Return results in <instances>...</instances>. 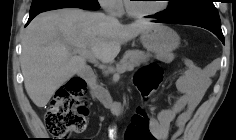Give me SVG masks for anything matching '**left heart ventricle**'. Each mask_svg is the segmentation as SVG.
Returning a JSON list of instances; mask_svg holds the SVG:
<instances>
[{"mask_svg":"<svg viewBox=\"0 0 236 140\" xmlns=\"http://www.w3.org/2000/svg\"><path fill=\"white\" fill-rule=\"evenodd\" d=\"M161 4V1L157 0H138L131 2L132 8L140 12L152 11L160 7Z\"/></svg>","mask_w":236,"mask_h":140,"instance_id":"left-heart-ventricle-1","label":"left heart ventricle"}]
</instances>
